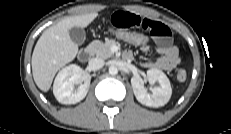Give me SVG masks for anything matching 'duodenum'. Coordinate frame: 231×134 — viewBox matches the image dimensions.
<instances>
[{"mask_svg": "<svg viewBox=\"0 0 231 134\" xmlns=\"http://www.w3.org/2000/svg\"><path fill=\"white\" fill-rule=\"evenodd\" d=\"M91 53H92L91 48L90 47H86V48L82 49L81 51H79V53H78V59L81 62H86L90 58Z\"/></svg>", "mask_w": 231, "mask_h": 134, "instance_id": "1", "label": "duodenum"}]
</instances>
